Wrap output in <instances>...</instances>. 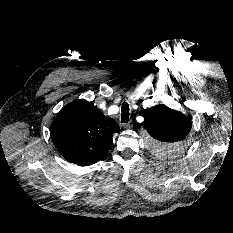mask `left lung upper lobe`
I'll list each match as a JSON object with an SVG mask.
<instances>
[{"mask_svg":"<svg viewBox=\"0 0 233 233\" xmlns=\"http://www.w3.org/2000/svg\"><path fill=\"white\" fill-rule=\"evenodd\" d=\"M144 129L154 149L166 154H176L184 148L183 140L191 130V120L181 112L165 105H156L144 113Z\"/></svg>","mask_w":233,"mask_h":233,"instance_id":"1","label":"left lung upper lobe"}]
</instances>
